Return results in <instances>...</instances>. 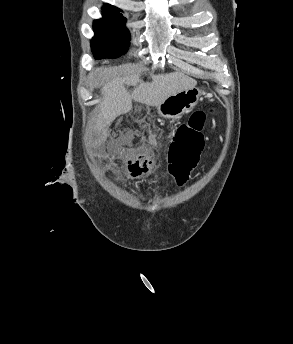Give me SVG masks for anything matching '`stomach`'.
<instances>
[{"mask_svg": "<svg viewBox=\"0 0 293 344\" xmlns=\"http://www.w3.org/2000/svg\"><path fill=\"white\" fill-rule=\"evenodd\" d=\"M201 94L202 90L196 87L181 91L166 98L157 106V111L165 119L177 120L194 108Z\"/></svg>", "mask_w": 293, "mask_h": 344, "instance_id": "0dacf381", "label": "stomach"}]
</instances>
